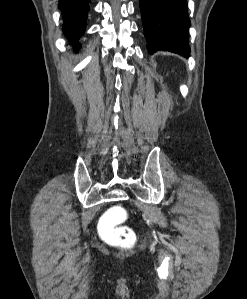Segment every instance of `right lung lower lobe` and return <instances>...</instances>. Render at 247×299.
Listing matches in <instances>:
<instances>
[{
  "label": "right lung lower lobe",
  "instance_id": "right-lung-lower-lobe-1",
  "mask_svg": "<svg viewBox=\"0 0 247 299\" xmlns=\"http://www.w3.org/2000/svg\"><path fill=\"white\" fill-rule=\"evenodd\" d=\"M90 0H59V8L63 17V31L74 50L79 48L78 39L83 35Z\"/></svg>",
  "mask_w": 247,
  "mask_h": 299
}]
</instances>
